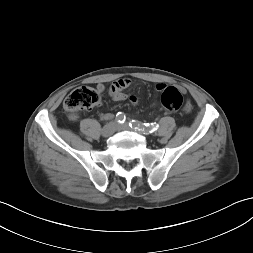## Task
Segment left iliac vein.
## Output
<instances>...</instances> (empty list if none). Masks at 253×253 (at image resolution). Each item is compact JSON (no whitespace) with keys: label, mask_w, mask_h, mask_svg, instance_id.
Masks as SVG:
<instances>
[{"label":"left iliac vein","mask_w":253,"mask_h":253,"mask_svg":"<svg viewBox=\"0 0 253 253\" xmlns=\"http://www.w3.org/2000/svg\"><path fill=\"white\" fill-rule=\"evenodd\" d=\"M120 129H121V130H133V131H135V132H137V133H140V134H143V135H147L146 132H144V131H142V130H140V129L131 128L128 124H123V125H121V126H120Z\"/></svg>","instance_id":"left-iliac-vein-1"}]
</instances>
